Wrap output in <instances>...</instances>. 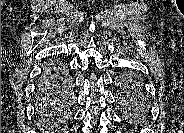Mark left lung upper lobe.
Returning a JSON list of instances; mask_svg holds the SVG:
<instances>
[{"instance_id": "obj_1", "label": "left lung upper lobe", "mask_w": 184, "mask_h": 133, "mask_svg": "<svg viewBox=\"0 0 184 133\" xmlns=\"http://www.w3.org/2000/svg\"><path fill=\"white\" fill-rule=\"evenodd\" d=\"M119 81L124 92L122 96L123 103L134 112L144 113L146 105L142 99V90L138 81L129 75L121 76Z\"/></svg>"}]
</instances>
